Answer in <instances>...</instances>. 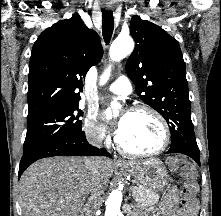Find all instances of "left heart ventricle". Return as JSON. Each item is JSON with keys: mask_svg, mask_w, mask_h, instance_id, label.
I'll list each match as a JSON object with an SVG mask.
<instances>
[{"mask_svg": "<svg viewBox=\"0 0 221 216\" xmlns=\"http://www.w3.org/2000/svg\"><path fill=\"white\" fill-rule=\"evenodd\" d=\"M162 139L163 131L160 123L146 112H129L119 136L124 146L139 152L155 150L160 146Z\"/></svg>", "mask_w": 221, "mask_h": 216, "instance_id": "b2bd125f", "label": "left heart ventricle"}]
</instances>
